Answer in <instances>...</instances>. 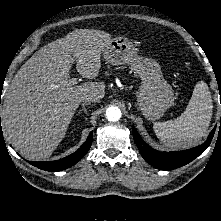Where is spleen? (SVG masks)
<instances>
[{
	"label": "spleen",
	"instance_id": "1",
	"mask_svg": "<svg viewBox=\"0 0 221 221\" xmlns=\"http://www.w3.org/2000/svg\"><path fill=\"white\" fill-rule=\"evenodd\" d=\"M212 108L208 87L201 81L196 84L186 110L174 120L155 123V134L169 147L191 146L205 136Z\"/></svg>",
	"mask_w": 221,
	"mask_h": 221
}]
</instances>
